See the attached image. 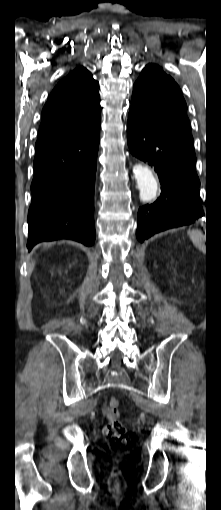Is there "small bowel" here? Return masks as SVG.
<instances>
[{
	"label": "small bowel",
	"mask_w": 221,
	"mask_h": 510,
	"mask_svg": "<svg viewBox=\"0 0 221 510\" xmlns=\"http://www.w3.org/2000/svg\"><path fill=\"white\" fill-rule=\"evenodd\" d=\"M103 412H104V414H106L108 416V414H109V407H108L106 401L104 402V405H103Z\"/></svg>",
	"instance_id": "small-bowel-1"
}]
</instances>
